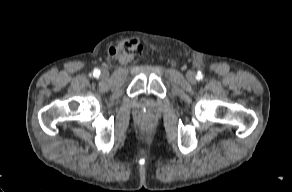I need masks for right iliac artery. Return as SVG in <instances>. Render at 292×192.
<instances>
[{
	"label": "right iliac artery",
	"mask_w": 292,
	"mask_h": 192,
	"mask_svg": "<svg viewBox=\"0 0 292 192\" xmlns=\"http://www.w3.org/2000/svg\"><path fill=\"white\" fill-rule=\"evenodd\" d=\"M93 75L96 76V77L99 76L100 75V70L94 69Z\"/></svg>",
	"instance_id": "82829eb1"
}]
</instances>
